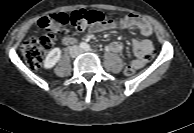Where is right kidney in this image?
Instances as JSON below:
<instances>
[{
	"label": "right kidney",
	"mask_w": 194,
	"mask_h": 133,
	"mask_svg": "<svg viewBox=\"0 0 194 133\" xmlns=\"http://www.w3.org/2000/svg\"><path fill=\"white\" fill-rule=\"evenodd\" d=\"M61 57V50L60 48L56 47L53 48L49 53L47 54L45 60H44V68L50 69L56 65V63L59 61Z\"/></svg>",
	"instance_id": "right-kidney-1"
}]
</instances>
